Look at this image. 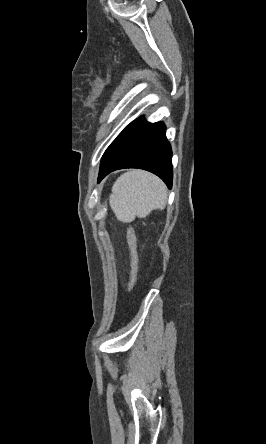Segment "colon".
I'll return each mask as SVG.
<instances>
[{"instance_id": "5ec220e1", "label": "colon", "mask_w": 266, "mask_h": 444, "mask_svg": "<svg viewBox=\"0 0 266 444\" xmlns=\"http://www.w3.org/2000/svg\"><path fill=\"white\" fill-rule=\"evenodd\" d=\"M127 241L129 246L130 254V275H129V291H132L138 273V257H137V246H136V236L132 227L127 228Z\"/></svg>"}]
</instances>
